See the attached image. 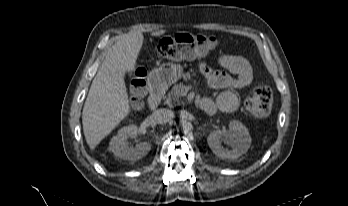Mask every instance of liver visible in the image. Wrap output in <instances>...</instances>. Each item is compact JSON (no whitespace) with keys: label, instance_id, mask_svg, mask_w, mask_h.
I'll return each instance as SVG.
<instances>
[{"label":"liver","instance_id":"obj_1","mask_svg":"<svg viewBox=\"0 0 348 206\" xmlns=\"http://www.w3.org/2000/svg\"><path fill=\"white\" fill-rule=\"evenodd\" d=\"M165 32L158 30L152 36ZM143 39L141 32L118 36L93 79L82 111L83 132L91 150L130 113L124 77L135 70Z\"/></svg>","mask_w":348,"mask_h":206}]
</instances>
